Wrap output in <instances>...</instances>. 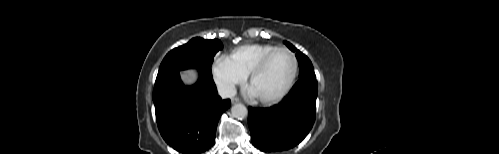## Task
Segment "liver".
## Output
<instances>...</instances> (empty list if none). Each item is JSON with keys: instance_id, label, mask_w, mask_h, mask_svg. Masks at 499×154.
Returning a JSON list of instances; mask_svg holds the SVG:
<instances>
[{"instance_id": "1", "label": "liver", "mask_w": 499, "mask_h": 154, "mask_svg": "<svg viewBox=\"0 0 499 154\" xmlns=\"http://www.w3.org/2000/svg\"><path fill=\"white\" fill-rule=\"evenodd\" d=\"M197 70H187L182 75V80L186 85L192 84L196 80Z\"/></svg>"}]
</instances>
